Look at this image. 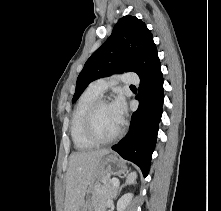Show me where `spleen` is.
Returning <instances> with one entry per match:
<instances>
[{"instance_id":"obj_1","label":"spleen","mask_w":221,"mask_h":211,"mask_svg":"<svg viewBox=\"0 0 221 211\" xmlns=\"http://www.w3.org/2000/svg\"><path fill=\"white\" fill-rule=\"evenodd\" d=\"M136 178H137L136 172H131L130 174H128L127 183L133 184L136 181Z\"/></svg>"}]
</instances>
